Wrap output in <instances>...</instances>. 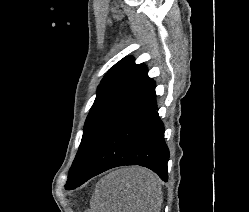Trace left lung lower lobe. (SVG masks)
Masks as SVG:
<instances>
[{
    "label": "left lung lower lobe",
    "instance_id": "left-lung-lower-lobe-1",
    "mask_svg": "<svg viewBox=\"0 0 249 212\" xmlns=\"http://www.w3.org/2000/svg\"><path fill=\"white\" fill-rule=\"evenodd\" d=\"M156 110L153 81L111 127L83 172L65 189H75L108 169L124 165L147 167L166 181L169 149Z\"/></svg>",
    "mask_w": 249,
    "mask_h": 212
}]
</instances>
